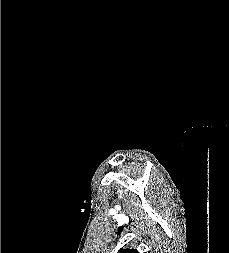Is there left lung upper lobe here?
I'll return each instance as SVG.
<instances>
[{
	"mask_svg": "<svg viewBox=\"0 0 229 253\" xmlns=\"http://www.w3.org/2000/svg\"><path fill=\"white\" fill-rule=\"evenodd\" d=\"M121 253H138L136 249H120Z\"/></svg>",
	"mask_w": 229,
	"mask_h": 253,
	"instance_id": "5c2ea615",
	"label": "left lung upper lobe"
}]
</instances>
